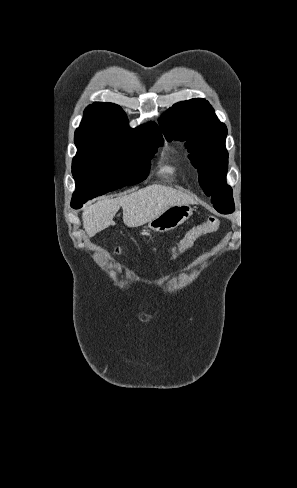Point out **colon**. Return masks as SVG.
I'll list each match as a JSON object with an SVG mask.
<instances>
[{
    "label": "colon",
    "mask_w": 297,
    "mask_h": 488,
    "mask_svg": "<svg viewBox=\"0 0 297 488\" xmlns=\"http://www.w3.org/2000/svg\"><path fill=\"white\" fill-rule=\"evenodd\" d=\"M217 225V219L210 216L206 222L193 226L170 251L169 259L175 260L180 257L193 246L199 237L215 229Z\"/></svg>",
    "instance_id": "obj_1"
}]
</instances>
